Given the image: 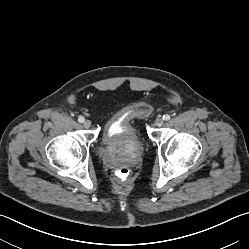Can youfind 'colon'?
I'll list each match as a JSON object with an SVG mask.
<instances>
[{
  "instance_id": "5ec220e1",
  "label": "colon",
  "mask_w": 249,
  "mask_h": 249,
  "mask_svg": "<svg viewBox=\"0 0 249 249\" xmlns=\"http://www.w3.org/2000/svg\"><path fill=\"white\" fill-rule=\"evenodd\" d=\"M115 177L122 182H126L131 177V170L125 166L119 167L115 171Z\"/></svg>"
}]
</instances>
